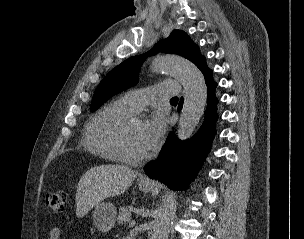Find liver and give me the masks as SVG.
I'll return each mask as SVG.
<instances>
[{"instance_id":"6515ba94","label":"liver","mask_w":304,"mask_h":239,"mask_svg":"<svg viewBox=\"0 0 304 239\" xmlns=\"http://www.w3.org/2000/svg\"><path fill=\"white\" fill-rule=\"evenodd\" d=\"M136 176L134 170L123 165H100L89 169L77 187L76 216L83 218L104 199L124 193Z\"/></svg>"}]
</instances>
